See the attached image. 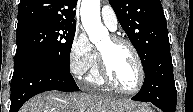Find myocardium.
<instances>
[{
	"label": "myocardium",
	"mask_w": 193,
	"mask_h": 112,
	"mask_svg": "<svg viewBox=\"0 0 193 112\" xmlns=\"http://www.w3.org/2000/svg\"><path fill=\"white\" fill-rule=\"evenodd\" d=\"M110 40L112 43L117 44V45H125L127 46L131 52L133 53V56L135 58L136 64H137V69H138V81L136 86L131 89V90H126L121 88L120 86H118L114 80L111 78L109 71L107 69V65L105 62V59L103 57V55L101 54V52L98 50V70H99V74L103 80V82L108 85L110 88H112L113 90L121 93V94H125V95H134L136 93H138L145 81V71H144V67H143V63L140 57V54L138 52V50L136 49V47L127 39L120 37V36H111Z\"/></svg>",
	"instance_id": "obj_1"
}]
</instances>
